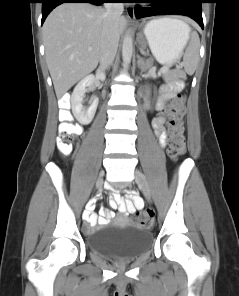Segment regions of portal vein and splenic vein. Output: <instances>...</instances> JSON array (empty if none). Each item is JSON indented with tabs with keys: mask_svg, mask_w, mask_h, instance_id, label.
<instances>
[{
	"mask_svg": "<svg viewBox=\"0 0 239 296\" xmlns=\"http://www.w3.org/2000/svg\"><path fill=\"white\" fill-rule=\"evenodd\" d=\"M89 50H91V48H89ZM163 69H165V70H166V69H168V68L164 67Z\"/></svg>",
	"mask_w": 239,
	"mask_h": 296,
	"instance_id": "1",
	"label": "portal vein and splenic vein"
}]
</instances>
